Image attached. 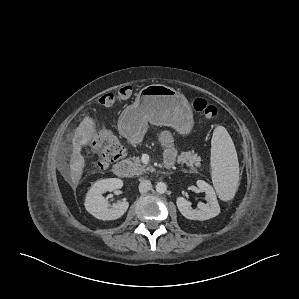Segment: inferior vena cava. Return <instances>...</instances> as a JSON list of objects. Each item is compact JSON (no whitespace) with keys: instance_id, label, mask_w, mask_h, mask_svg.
<instances>
[{"instance_id":"1","label":"inferior vena cava","mask_w":299,"mask_h":299,"mask_svg":"<svg viewBox=\"0 0 299 299\" xmlns=\"http://www.w3.org/2000/svg\"><path fill=\"white\" fill-rule=\"evenodd\" d=\"M152 184L149 180H143L139 184V191L140 193H146L151 190Z\"/></svg>"}]
</instances>
